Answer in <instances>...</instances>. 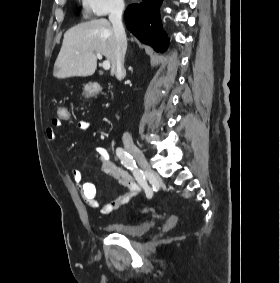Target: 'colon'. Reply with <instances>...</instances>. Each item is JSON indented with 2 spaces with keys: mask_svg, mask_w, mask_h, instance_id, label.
Returning <instances> with one entry per match:
<instances>
[{
  "mask_svg": "<svg viewBox=\"0 0 280 283\" xmlns=\"http://www.w3.org/2000/svg\"><path fill=\"white\" fill-rule=\"evenodd\" d=\"M83 91L85 92L86 95L92 96L95 95L97 92H102L103 88L102 87H84ZM71 108H67L66 105H60L58 107V111L56 112L57 115V121L58 122H69L71 118Z\"/></svg>",
  "mask_w": 280,
  "mask_h": 283,
  "instance_id": "obj_1",
  "label": "colon"
}]
</instances>
